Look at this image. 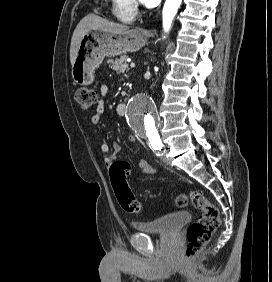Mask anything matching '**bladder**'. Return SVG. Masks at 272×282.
Wrapping results in <instances>:
<instances>
[{
    "mask_svg": "<svg viewBox=\"0 0 272 282\" xmlns=\"http://www.w3.org/2000/svg\"><path fill=\"white\" fill-rule=\"evenodd\" d=\"M191 215L187 211H179L151 221H135L134 228L142 233L172 234L188 222Z\"/></svg>",
    "mask_w": 272,
    "mask_h": 282,
    "instance_id": "1",
    "label": "bladder"
}]
</instances>
